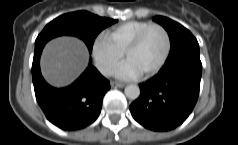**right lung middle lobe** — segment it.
Here are the masks:
<instances>
[{
    "label": "right lung middle lobe",
    "instance_id": "obj_1",
    "mask_svg": "<svg viewBox=\"0 0 238 145\" xmlns=\"http://www.w3.org/2000/svg\"><path fill=\"white\" fill-rule=\"evenodd\" d=\"M117 21L99 17L87 11L67 13L57 17L45 26L35 41V47L58 36L73 35L83 40L91 53L97 35Z\"/></svg>",
    "mask_w": 238,
    "mask_h": 145
}]
</instances>
